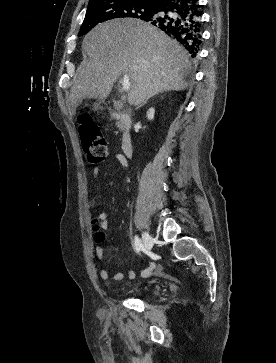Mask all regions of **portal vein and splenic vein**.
Here are the masks:
<instances>
[{"mask_svg":"<svg viewBox=\"0 0 276 363\" xmlns=\"http://www.w3.org/2000/svg\"><path fill=\"white\" fill-rule=\"evenodd\" d=\"M130 81H129V77L127 75H124L123 80H122V89L124 91H128L130 89Z\"/></svg>","mask_w":276,"mask_h":363,"instance_id":"18ae733b","label":"portal vein and splenic vein"}]
</instances>
